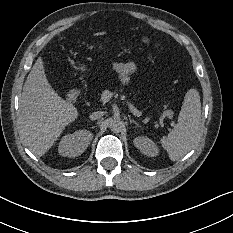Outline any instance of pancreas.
Wrapping results in <instances>:
<instances>
[{"label": "pancreas", "instance_id": "1", "mask_svg": "<svg viewBox=\"0 0 233 233\" xmlns=\"http://www.w3.org/2000/svg\"><path fill=\"white\" fill-rule=\"evenodd\" d=\"M165 114L171 116V115H172V111H170V110H169V111H166Z\"/></svg>", "mask_w": 233, "mask_h": 233}]
</instances>
